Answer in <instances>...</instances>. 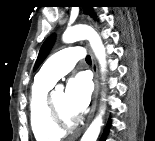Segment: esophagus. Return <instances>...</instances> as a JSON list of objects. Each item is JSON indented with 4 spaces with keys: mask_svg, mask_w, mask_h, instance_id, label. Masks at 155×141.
I'll return each instance as SVG.
<instances>
[{
    "mask_svg": "<svg viewBox=\"0 0 155 141\" xmlns=\"http://www.w3.org/2000/svg\"><path fill=\"white\" fill-rule=\"evenodd\" d=\"M86 48L88 49V51L91 55V59H92V71L94 74V86H95L94 93H93V99H92V107H91L90 115H89V118H88V121L86 124V126H87L89 124L90 120L92 119L95 109H96V106H97V97H98V93H99V81H98V67H97L95 56L88 45H86Z\"/></svg>",
    "mask_w": 155,
    "mask_h": 141,
    "instance_id": "obj_1",
    "label": "esophagus"
}]
</instances>
